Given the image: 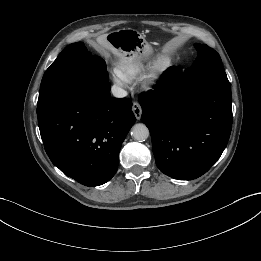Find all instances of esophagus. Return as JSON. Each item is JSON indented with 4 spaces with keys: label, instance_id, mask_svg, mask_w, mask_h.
<instances>
[{
    "label": "esophagus",
    "instance_id": "1",
    "mask_svg": "<svg viewBox=\"0 0 261 261\" xmlns=\"http://www.w3.org/2000/svg\"><path fill=\"white\" fill-rule=\"evenodd\" d=\"M132 111H133L136 119L140 120L141 115H142V108L138 102H133Z\"/></svg>",
    "mask_w": 261,
    "mask_h": 261
}]
</instances>
